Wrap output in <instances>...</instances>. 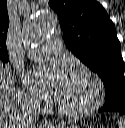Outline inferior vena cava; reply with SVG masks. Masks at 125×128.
Wrapping results in <instances>:
<instances>
[{
  "mask_svg": "<svg viewBox=\"0 0 125 128\" xmlns=\"http://www.w3.org/2000/svg\"><path fill=\"white\" fill-rule=\"evenodd\" d=\"M37 106L38 104L29 102L27 104L25 112L23 111V120L26 123L27 127L31 126L36 122L37 118Z\"/></svg>",
  "mask_w": 125,
  "mask_h": 128,
  "instance_id": "obj_1",
  "label": "inferior vena cava"
}]
</instances>
